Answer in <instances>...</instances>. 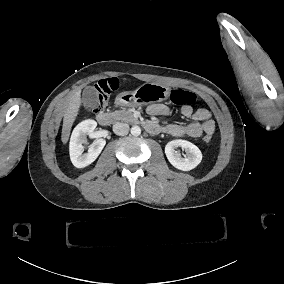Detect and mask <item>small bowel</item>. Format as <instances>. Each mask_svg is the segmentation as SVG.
<instances>
[{"label": "small bowel", "instance_id": "small-bowel-1", "mask_svg": "<svg viewBox=\"0 0 284 284\" xmlns=\"http://www.w3.org/2000/svg\"><path fill=\"white\" fill-rule=\"evenodd\" d=\"M147 112L151 116H167L171 110L164 104H153L147 108ZM180 115L184 118L192 120L191 123H169L159 125L156 122H148L146 129L151 133H157L162 130L164 133L173 137H192L198 138L202 135H212L215 131V122L211 119V113L206 108H198L194 110L191 106H183L179 110Z\"/></svg>", "mask_w": 284, "mask_h": 284}]
</instances>
